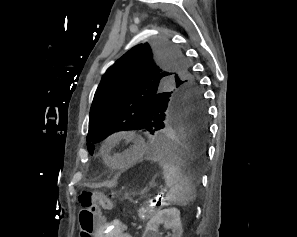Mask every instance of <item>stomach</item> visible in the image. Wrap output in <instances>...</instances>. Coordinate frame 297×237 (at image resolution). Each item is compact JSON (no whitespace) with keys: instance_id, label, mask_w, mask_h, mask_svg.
Masks as SVG:
<instances>
[{"instance_id":"stomach-1","label":"stomach","mask_w":297,"mask_h":237,"mask_svg":"<svg viewBox=\"0 0 297 237\" xmlns=\"http://www.w3.org/2000/svg\"><path fill=\"white\" fill-rule=\"evenodd\" d=\"M132 194L135 195V193H132ZM140 194L143 195L144 192L142 191ZM127 198L131 200V198L129 196H127Z\"/></svg>"}]
</instances>
